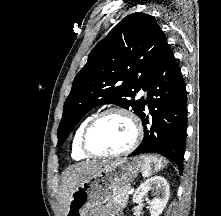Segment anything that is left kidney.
Wrapping results in <instances>:
<instances>
[{
	"instance_id": "obj_1",
	"label": "left kidney",
	"mask_w": 221,
	"mask_h": 216,
	"mask_svg": "<svg viewBox=\"0 0 221 216\" xmlns=\"http://www.w3.org/2000/svg\"><path fill=\"white\" fill-rule=\"evenodd\" d=\"M170 187L166 179L161 176H155L147 179L138 187L133 195L134 203H141L143 201H148L147 194L149 191L154 192L155 198L151 202H149L150 214L151 216H159L166 204L168 202L170 196Z\"/></svg>"
}]
</instances>
